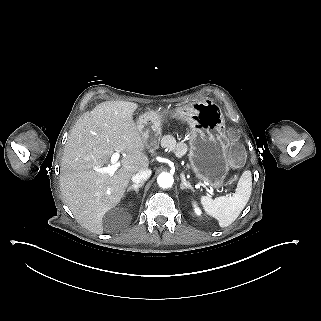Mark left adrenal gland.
I'll use <instances>...</instances> for the list:
<instances>
[{"mask_svg":"<svg viewBox=\"0 0 321 321\" xmlns=\"http://www.w3.org/2000/svg\"><path fill=\"white\" fill-rule=\"evenodd\" d=\"M181 179H182V183H181V185H180L181 190H186V189H188V190H191L193 193H195V191H194V189L192 188V186L190 185V183H188V182L186 181V178H185V176H184L183 173H181Z\"/></svg>","mask_w":321,"mask_h":321,"instance_id":"left-adrenal-gland-1","label":"left adrenal gland"}]
</instances>
